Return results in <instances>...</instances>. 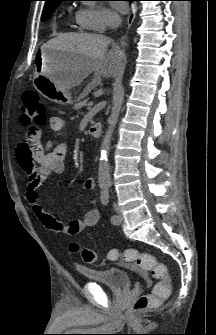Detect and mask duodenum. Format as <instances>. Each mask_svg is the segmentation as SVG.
Returning <instances> with one entry per match:
<instances>
[{
    "label": "duodenum",
    "instance_id": "duodenum-1",
    "mask_svg": "<svg viewBox=\"0 0 216 335\" xmlns=\"http://www.w3.org/2000/svg\"><path fill=\"white\" fill-rule=\"evenodd\" d=\"M100 133H101V124L95 123L90 126L89 134L91 137L98 138L100 136Z\"/></svg>",
    "mask_w": 216,
    "mask_h": 335
}]
</instances>
